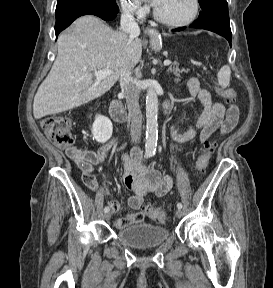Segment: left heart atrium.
<instances>
[{"label":"left heart atrium","instance_id":"1","mask_svg":"<svg viewBox=\"0 0 273 288\" xmlns=\"http://www.w3.org/2000/svg\"><path fill=\"white\" fill-rule=\"evenodd\" d=\"M157 0H152V4L155 6L156 5Z\"/></svg>","mask_w":273,"mask_h":288}]
</instances>
